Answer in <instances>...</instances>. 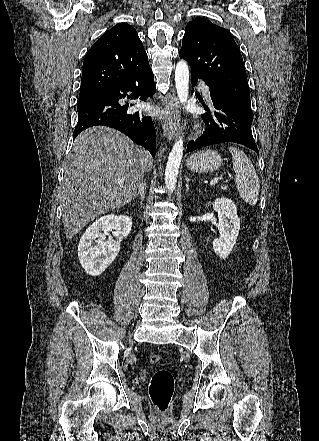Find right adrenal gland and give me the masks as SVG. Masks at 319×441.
Listing matches in <instances>:
<instances>
[{
	"label": "right adrenal gland",
	"instance_id": "2a0ac1e0",
	"mask_svg": "<svg viewBox=\"0 0 319 441\" xmlns=\"http://www.w3.org/2000/svg\"><path fill=\"white\" fill-rule=\"evenodd\" d=\"M145 190H146L145 183H141L139 185V187H138V192L134 196V199L140 196L141 201H144V199H145Z\"/></svg>",
	"mask_w": 319,
	"mask_h": 441
}]
</instances>
